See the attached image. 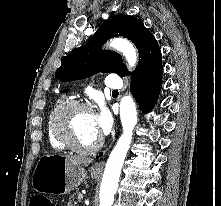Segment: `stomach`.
I'll return each instance as SVG.
<instances>
[{
    "instance_id": "obj_1",
    "label": "stomach",
    "mask_w": 221,
    "mask_h": 206,
    "mask_svg": "<svg viewBox=\"0 0 221 206\" xmlns=\"http://www.w3.org/2000/svg\"><path fill=\"white\" fill-rule=\"evenodd\" d=\"M86 177L83 166L73 164L66 156L44 155L36 164L32 185L40 193L63 195L76 189ZM91 177L96 179L99 173L92 170Z\"/></svg>"
}]
</instances>
